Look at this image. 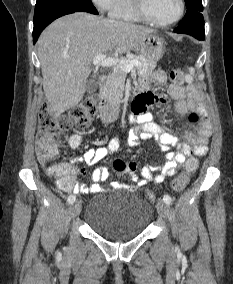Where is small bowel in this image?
Instances as JSON below:
<instances>
[{
  "label": "small bowel",
  "instance_id": "small-bowel-1",
  "mask_svg": "<svg viewBox=\"0 0 233 284\" xmlns=\"http://www.w3.org/2000/svg\"><path fill=\"white\" fill-rule=\"evenodd\" d=\"M152 82L155 85H165L167 83V75L163 70H156L152 74ZM149 81L143 79L140 82L142 92L133 105L132 122L138 124L131 130L130 136L133 141L154 137L163 151L167 152L166 161L159 173L154 174L150 165H145L140 170V178L138 176L135 163H129L124 172L138 186H144L148 183H161L166 178L175 174L177 168L182 166L187 158L191 156H204L208 151V141L211 135V126L206 118L200 122L196 132H186V143L179 142L178 138L169 133L163 126L153 121L152 115L147 111L148 107L154 104H164L165 98L154 95L146 91L149 88ZM167 91L171 98L176 101L175 108L180 114H185L189 110L201 111L203 102L200 92L191 85L180 86L169 84ZM175 148V151H171ZM119 149V141L112 138L108 146H100L97 148L87 149L83 156L73 159L70 163H58L50 165L46 168L48 175L53 177L57 185L65 190L74 193H90L100 191L98 182L105 181L109 176V170L106 167H98L91 174L92 184L85 186L77 181L78 175H86L87 166L94 165L115 153ZM71 182V187L65 189L63 183ZM118 185V183H114Z\"/></svg>",
  "mask_w": 233,
  "mask_h": 284
}]
</instances>
